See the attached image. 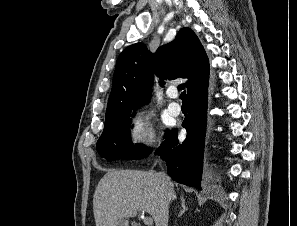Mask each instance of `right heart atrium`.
Masks as SVG:
<instances>
[{
  "label": "right heart atrium",
  "instance_id": "right-heart-atrium-1",
  "mask_svg": "<svg viewBox=\"0 0 297 226\" xmlns=\"http://www.w3.org/2000/svg\"><path fill=\"white\" fill-rule=\"evenodd\" d=\"M131 140L140 147H150L156 143V133L148 116L141 113L133 119Z\"/></svg>",
  "mask_w": 297,
  "mask_h": 226
}]
</instances>
